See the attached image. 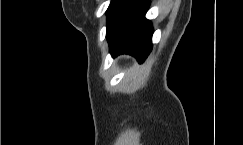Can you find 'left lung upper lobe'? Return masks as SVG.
<instances>
[{"instance_id":"left-lung-upper-lobe-1","label":"left lung upper lobe","mask_w":243,"mask_h":145,"mask_svg":"<svg viewBox=\"0 0 243 145\" xmlns=\"http://www.w3.org/2000/svg\"><path fill=\"white\" fill-rule=\"evenodd\" d=\"M130 0H112L107 11V31L110 29L116 17Z\"/></svg>"}]
</instances>
